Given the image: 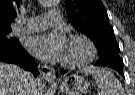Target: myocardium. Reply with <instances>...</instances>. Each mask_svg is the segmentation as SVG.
<instances>
[{"mask_svg":"<svg viewBox=\"0 0 135 95\" xmlns=\"http://www.w3.org/2000/svg\"><path fill=\"white\" fill-rule=\"evenodd\" d=\"M72 40L82 41L87 48V55L83 59H81L79 61H75V62H69V61L63 60L62 65L64 67L78 68V67L88 64L95 58L97 50H96V47H95L93 41L88 36H86L84 34H80V33L72 34L69 37V41H72Z\"/></svg>","mask_w":135,"mask_h":95,"instance_id":"1","label":"myocardium"}]
</instances>
